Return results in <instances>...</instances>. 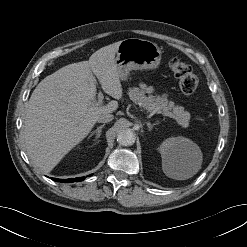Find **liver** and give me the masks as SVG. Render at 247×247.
I'll return each instance as SVG.
<instances>
[{
	"label": "liver",
	"mask_w": 247,
	"mask_h": 247,
	"mask_svg": "<svg viewBox=\"0 0 247 247\" xmlns=\"http://www.w3.org/2000/svg\"><path fill=\"white\" fill-rule=\"evenodd\" d=\"M120 41L94 52L88 61L69 64L45 77L34 89L24 121L29 157L50 172L92 130L100 114L113 113L118 102L97 105L96 79L119 100L122 86L115 63Z\"/></svg>",
	"instance_id": "obj_1"
}]
</instances>
